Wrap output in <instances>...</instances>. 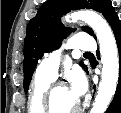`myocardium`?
I'll return each instance as SVG.
<instances>
[{"instance_id":"f54148a6","label":"myocardium","mask_w":121,"mask_h":113,"mask_svg":"<svg viewBox=\"0 0 121 113\" xmlns=\"http://www.w3.org/2000/svg\"><path fill=\"white\" fill-rule=\"evenodd\" d=\"M59 87H65L64 83L62 82H57L49 85L45 91V105H46V110H48L47 113H54L52 111L53 108V92L55 89ZM81 110L80 105H78L74 110L68 112V113H74L76 111Z\"/></svg>"}]
</instances>
